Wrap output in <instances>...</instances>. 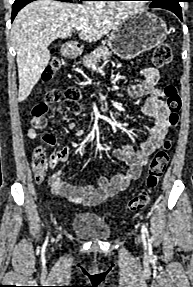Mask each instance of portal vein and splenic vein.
<instances>
[{"label":"portal vein and splenic vein","instance_id":"obj_1","mask_svg":"<svg viewBox=\"0 0 193 287\" xmlns=\"http://www.w3.org/2000/svg\"><path fill=\"white\" fill-rule=\"evenodd\" d=\"M75 29H76V31H80V30L84 29V27H83V26H76ZM95 67H96V66L93 65L92 68H95Z\"/></svg>","mask_w":193,"mask_h":287}]
</instances>
